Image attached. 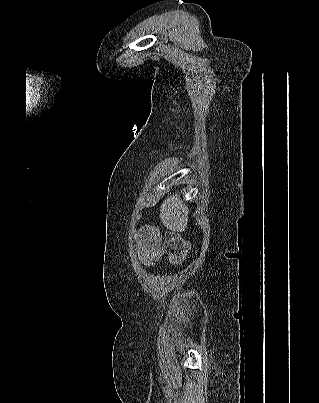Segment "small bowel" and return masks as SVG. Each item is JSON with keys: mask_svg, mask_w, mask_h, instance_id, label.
I'll return each mask as SVG.
<instances>
[{"mask_svg": "<svg viewBox=\"0 0 319 403\" xmlns=\"http://www.w3.org/2000/svg\"><path fill=\"white\" fill-rule=\"evenodd\" d=\"M139 250V257L142 259L141 265L143 266H150L153 265V261L150 258H153L154 255L150 252L148 248H140Z\"/></svg>", "mask_w": 319, "mask_h": 403, "instance_id": "small-bowel-1", "label": "small bowel"}]
</instances>
